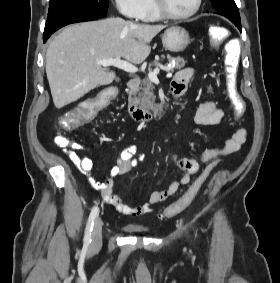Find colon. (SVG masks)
I'll return each instance as SVG.
<instances>
[{
  "label": "colon",
  "instance_id": "obj_1",
  "mask_svg": "<svg viewBox=\"0 0 280 283\" xmlns=\"http://www.w3.org/2000/svg\"><path fill=\"white\" fill-rule=\"evenodd\" d=\"M208 34L211 44L217 46L229 36V30L225 26L210 25L208 27ZM238 41V37H231L230 42L227 43L225 47L224 66L227 91L234 106L235 115L237 118H240L245 112L246 105L236 87L238 55H242V50H240L241 43ZM115 91V87H106L105 92L97 98L87 101L81 107H77L76 110H66V114H62L64 122L57 123L59 132H75V127H81V124H91V120L98 119V112H104V107L100 106L105 105L110 98L114 96ZM55 141L61 147H68L71 144L70 141L63 136H57ZM207 171L208 170L204 171L196 179L178 202L168 206L164 210L162 214L163 218H172L191 204L206 179Z\"/></svg>",
  "mask_w": 280,
  "mask_h": 283
}]
</instances>
